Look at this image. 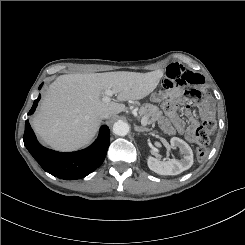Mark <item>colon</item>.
<instances>
[{"mask_svg": "<svg viewBox=\"0 0 245 245\" xmlns=\"http://www.w3.org/2000/svg\"><path fill=\"white\" fill-rule=\"evenodd\" d=\"M163 109L168 114H174L176 113L177 108V102L172 98H167L163 101ZM176 125L178 127L182 126V122L180 119L176 120ZM216 129V123L213 119L207 118L205 119L200 126H198L193 135L192 138L195 141V143L198 145L196 156L198 161H203L207 156V148L206 146L210 142V136Z\"/></svg>", "mask_w": 245, "mask_h": 245, "instance_id": "5ec220e1", "label": "colon"}]
</instances>
